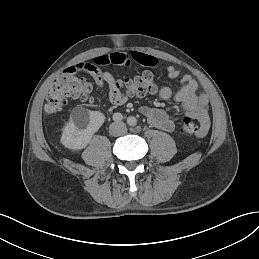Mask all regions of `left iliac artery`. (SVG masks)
Instances as JSON below:
<instances>
[{
    "label": "left iliac artery",
    "mask_w": 259,
    "mask_h": 259,
    "mask_svg": "<svg viewBox=\"0 0 259 259\" xmlns=\"http://www.w3.org/2000/svg\"><path fill=\"white\" fill-rule=\"evenodd\" d=\"M127 123L130 126H135L137 124V119L133 116H130V117L127 118Z\"/></svg>",
    "instance_id": "44dca946"
}]
</instances>
